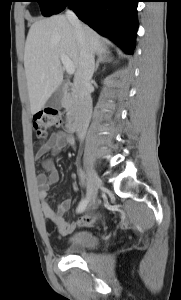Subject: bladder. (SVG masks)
<instances>
[{"label":"bladder","instance_id":"obj_1","mask_svg":"<svg viewBox=\"0 0 181 300\" xmlns=\"http://www.w3.org/2000/svg\"><path fill=\"white\" fill-rule=\"evenodd\" d=\"M99 244V239L95 233L89 230H79L74 232L68 239V248L73 253H79L86 249H93Z\"/></svg>","mask_w":181,"mask_h":300}]
</instances>
